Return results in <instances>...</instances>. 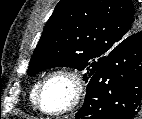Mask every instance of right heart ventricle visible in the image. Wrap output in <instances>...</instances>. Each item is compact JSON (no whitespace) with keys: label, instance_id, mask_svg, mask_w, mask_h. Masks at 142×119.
Returning a JSON list of instances; mask_svg holds the SVG:
<instances>
[{"label":"right heart ventricle","instance_id":"obj_1","mask_svg":"<svg viewBox=\"0 0 142 119\" xmlns=\"http://www.w3.org/2000/svg\"><path fill=\"white\" fill-rule=\"evenodd\" d=\"M38 87H39V82L35 83L31 88L29 99L32 102V104H35V95H36Z\"/></svg>","mask_w":142,"mask_h":119}]
</instances>
